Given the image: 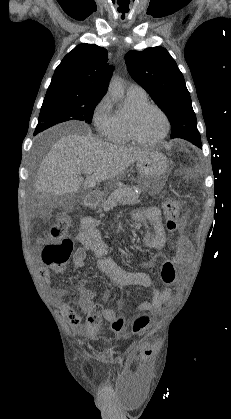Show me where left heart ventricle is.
<instances>
[{"instance_id":"left-heart-ventricle-1","label":"left heart ventricle","mask_w":231,"mask_h":419,"mask_svg":"<svg viewBox=\"0 0 231 419\" xmlns=\"http://www.w3.org/2000/svg\"><path fill=\"white\" fill-rule=\"evenodd\" d=\"M137 127L142 137L152 140L163 134L165 121L157 110L148 109L138 118Z\"/></svg>"}]
</instances>
